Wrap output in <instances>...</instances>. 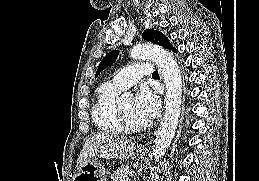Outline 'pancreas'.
<instances>
[{
    "instance_id": "cf45deb5",
    "label": "pancreas",
    "mask_w": 259,
    "mask_h": 181,
    "mask_svg": "<svg viewBox=\"0 0 259 181\" xmlns=\"http://www.w3.org/2000/svg\"><path fill=\"white\" fill-rule=\"evenodd\" d=\"M128 173H129V167L121 166L113 172V174L111 175V179L112 181H120V178L122 177L127 178Z\"/></svg>"
}]
</instances>
